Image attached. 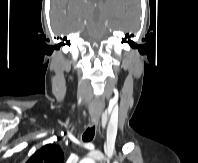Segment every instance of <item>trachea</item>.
Here are the masks:
<instances>
[{"mask_svg": "<svg viewBox=\"0 0 198 163\" xmlns=\"http://www.w3.org/2000/svg\"><path fill=\"white\" fill-rule=\"evenodd\" d=\"M94 135H95V126H92L84 132L82 139L84 142H89L94 138Z\"/></svg>", "mask_w": 198, "mask_h": 163, "instance_id": "3493384b", "label": "trachea"}]
</instances>
